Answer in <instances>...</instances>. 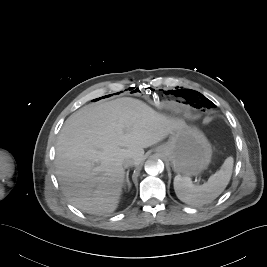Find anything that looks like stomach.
<instances>
[{
  "label": "stomach",
  "mask_w": 267,
  "mask_h": 267,
  "mask_svg": "<svg viewBox=\"0 0 267 267\" xmlns=\"http://www.w3.org/2000/svg\"><path fill=\"white\" fill-rule=\"evenodd\" d=\"M157 153L172 164L173 170L184 176H196L211 162L212 149L204 134L186 126L174 130Z\"/></svg>",
  "instance_id": "0dacf381"
}]
</instances>
